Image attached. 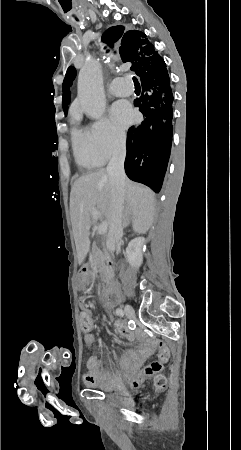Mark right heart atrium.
I'll return each mask as SVG.
<instances>
[{"label":"right heart atrium","instance_id":"d8ad5b80","mask_svg":"<svg viewBox=\"0 0 241 450\" xmlns=\"http://www.w3.org/2000/svg\"><path fill=\"white\" fill-rule=\"evenodd\" d=\"M87 119L83 116L76 118L78 125H83ZM88 147L99 159L110 160L115 155H125V132L113 125L107 118H102L88 131Z\"/></svg>","mask_w":241,"mask_h":450}]
</instances>
